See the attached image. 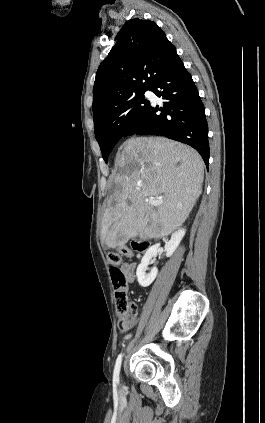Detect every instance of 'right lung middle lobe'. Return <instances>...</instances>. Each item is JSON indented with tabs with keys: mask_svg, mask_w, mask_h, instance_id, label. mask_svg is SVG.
I'll list each match as a JSON object with an SVG mask.
<instances>
[{
	"mask_svg": "<svg viewBox=\"0 0 265 423\" xmlns=\"http://www.w3.org/2000/svg\"><path fill=\"white\" fill-rule=\"evenodd\" d=\"M144 92L133 95L94 122L95 137L100 145L103 159L107 163L108 155L125 133L144 115L150 102L144 98Z\"/></svg>",
	"mask_w": 265,
	"mask_h": 423,
	"instance_id": "1",
	"label": "right lung middle lobe"
}]
</instances>
